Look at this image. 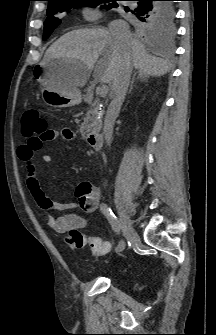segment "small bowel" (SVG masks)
Masks as SVG:
<instances>
[{
	"mask_svg": "<svg viewBox=\"0 0 216 335\" xmlns=\"http://www.w3.org/2000/svg\"><path fill=\"white\" fill-rule=\"evenodd\" d=\"M74 133L68 129L63 128L60 130H49L48 135L44 142L53 141L57 139L72 140ZM33 151L29 145H21L18 148V155L20 159L26 164V184L29 193L31 194L37 205L45 211L46 222L58 233H68L73 229H83L88 225V220L76 213L62 214L57 218H54L50 212L56 211L64 213L76 209L77 207L82 208L86 213H94L100 206V192L94 188L93 185L88 182H81L76 189L75 196L77 202L72 203H57L53 202L45 196L43 193L40 182L38 179L37 169L33 161ZM45 163H50L52 157L48 154L43 156ZM105 242V241H103ZM108 251L110 250V243L105 242ZM108 251L105 253L107 254ZM101 254V255H105ZM97 255V256H101Z\"/></svg>",
	"mask_w": 216,
	"mask_h": 335,
	"instance_id": "obj_1",
	"label": "small bowel"
}]
</instances>
